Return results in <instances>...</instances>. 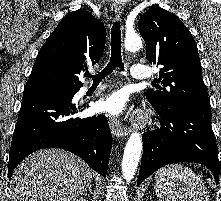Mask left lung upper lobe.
Instances as JSON below:
<instances>
[{
    "label": "left lung upper lobe",
    "mask_w": 221,
    "mask_h": 201,
    "mask_svg": "<svg viewBox=\"0 0 221 201\" xmlns=\"http://www.w3.org/2000/svg\"><path fill=\"white\" fill-rule=\"evenodd\" d=\"M139 32L146 43L149 63L163 66L158 79L162 86L146 91L150 103L163 111L210 107L197 46L181 20L173 13L154 7L139 19Z\"/></svg>",
    "instance_id": "obj_1"
}]
</instances>
